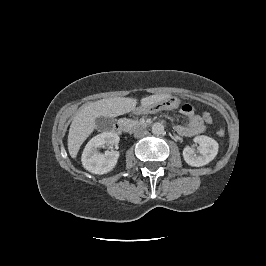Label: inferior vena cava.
Masks as SVG:
<instances>
[{
    "mask_svg": "<svg viewBox=\"0 0 266 266\" xmlns=\"http://www.w3.org/2000/svg\"><path fill=\"white\" fill-rule=\"evenodd\" d=\"M145 134H147V130H145L144 128H139V129L135 130V132H134V136L136 138L142 137Z\"/></svg>",
    "mask_w": 266,
    "mask_h": 266,
    "instance_id": "inferior-vena-cava-1",
    "label": "inferior vena cava"
}]
</instances>
